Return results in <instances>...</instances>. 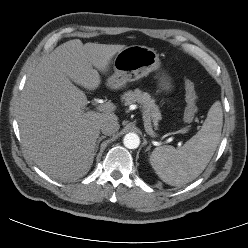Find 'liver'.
<instances>
[{
    "instance_id": "obj_1",
    "label": "liver",
    "mask_w": 248,
    "mask_h": 248,
    "mask_svg": "<svg viewBox=\"0 0 248 248\" xmlns=\"http://www.w3.org/2000/svg\"><path fill=\"white\" fill-rule=\"evenodd\" d=\"M124 45L74 39L45 56L29 76L18 108L21 140L28 156L52 178L85 176L91 169L100 125L113 113L86 111L88 90L101 83L112 58Z\"/></svg>"
}]
</instances>
